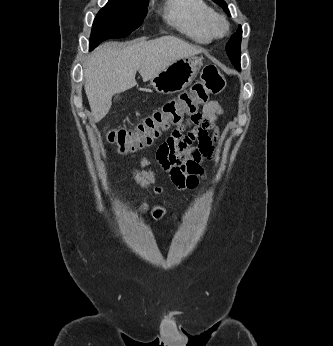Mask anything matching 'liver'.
<instances>
[{"label": "liver", "mask_w": 333, "mask_h": 346, "mask_svg": "<svg viewBox=\"0 0 333 346\" xmlns=\"http://www.w3.org/2000/svg\"><path fill=\"white\" fill-rule=\"evenodd\" d=\"M202 51L174 36L100 45L84 65V88L94 121L107 115L113 95L137 84V71L143 81H148L177 60Z\"/></svg>", "instance_id": "1"}]
</instances>
